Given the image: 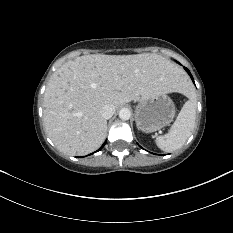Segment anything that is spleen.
I'll return each mask as SVG.
<instances>
[{
    "instance_id": "1",
    "label": "spleen",
    "mask_w": 233,
    "mask_h": 233,
    "mask_svg": "<svg viewBox=\"0 0 233 233\" xmlns=\"http://www.w3.org/2000/svg\"><path fill=\"white\" fill-rule=\"evenodd\" d=\"M189 100L183 105L169 132L156 138L157 146L165 152L181 148L192 134L195 127L196 106L193 93L188 92Z\"/></svg>"
}]
</instances>
